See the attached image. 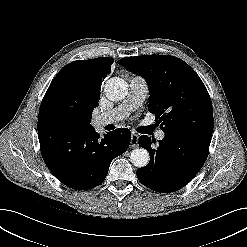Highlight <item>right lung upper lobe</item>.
Instances as JSON below:
<instances>
[{"instance_id": "1", "label": "right lung upper lobe", "mask_w": 247, "mask_h": 247, "mask_svg": "<svg viewBox=\"0 0 247 247\" xmlns=\"http://www.w3.org/2000/svg\"><path fill=\"white\" fill-rule=\"evenodd\" d=\"M113 62L112 58H96L68 64L75 69L74 86L93 109L98 106L103 79L109 73ZM91 117L92 112L91 116L86 118L82 131L94 129L90 125Z\"/></svg>"}]
</instances>
